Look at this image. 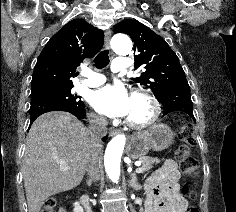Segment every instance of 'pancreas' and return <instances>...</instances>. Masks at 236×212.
<instances>
[{
  "mask_svg": "<svg viewBox=\"0 0 236 212\" xmlns=\"http://www.w3.org/2000/svg\"><path fill=\"white\" fill-rule=\"evenodd\" d=\"M139 160L142 163V172L149 171L153 167V164H158L160 162L159 159L149 156H141L139 157Z\"/></svg>",
  "mask_w": 236,
  "mask_h": 212,
  "instance_id": "obj_1",
  "label": "pancreas"
}]
</instances>
